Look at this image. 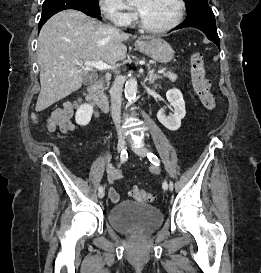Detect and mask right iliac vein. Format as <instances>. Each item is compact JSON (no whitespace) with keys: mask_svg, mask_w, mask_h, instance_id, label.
<instances>
[{"mask_svg":"<svg viewBox=\"0 0 261 273\" xmlns=\"http://www.w3.org/2000/svg\"><path fill=\"white\" fill-rule=\"evenodd\" d=\"M125 147V140L124 138L120 137L117 144V151L118 153L122 152ZM105 193L104 191H99L98 197L102 199L104 197Z\"/></svg>","mask_w":261,"mask_h":273,"instance_id":"obj_1","label":"right iliac vein"}]
</instances>
